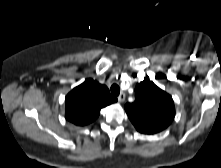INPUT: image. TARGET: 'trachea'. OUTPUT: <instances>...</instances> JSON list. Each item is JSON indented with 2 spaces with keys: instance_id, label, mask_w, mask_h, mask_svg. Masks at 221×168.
<instances>
[{
  "instance_id": "obj_1",
  "label": "trachea",
  "mask_w": 221,
  "mask_h": 168,
  "mask_svg": "<svg viewBox=\"0 0 221 168\" xmlns=\"http://www.w3.org/2000/svg\"><path fill=\"white\" fill-rule=\"evenodd\" d=\"M111 92H112L114 95L118 96V95L120 94V87H119L117 84H113V85L111 86Z\"/></svg>"
}]
</instances>
